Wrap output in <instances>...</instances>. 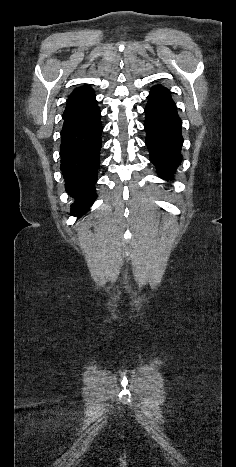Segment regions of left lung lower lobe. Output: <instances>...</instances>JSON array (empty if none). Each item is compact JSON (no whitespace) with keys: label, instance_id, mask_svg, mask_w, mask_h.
<instances>
[{"label":"left lung lower lobe","instance_id":"obj_1","mask_svg":"<svg viewBox=\"0 0 236 467\" xmlns=\"http://www.w3.org/2000/svg\"><path fill=\"white\" fill-rule=\"evenodd\" d=\"M145 114V142L150 160L161 178L172 180L174 171L181 163L183 137L182 121L167 88L154 86L151 89Z\"/></svg>","mask_w":236,"mask_h":467}]
</instances>
